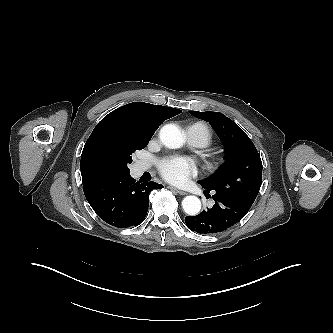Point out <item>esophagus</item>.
Wrapping results in <instances>:
<instances>
[{
    "label": "esophagus",
    "instance_id": "esophagus-1",
    "mask_svg": "<svg viewBox=\"0 0 333 333\" xmlns=\"http://www.w3.org/2000/svg\"><path fill=\"white\" fill-rule=\"evenodd\" d=\"M169 189L175 191L176 193H178L179 195H186L187 193L185 191L179 190L173 186H168Z\"/></svg>",
    "mask_w": 333,
    "mask_h": 333
}]
</instances>
